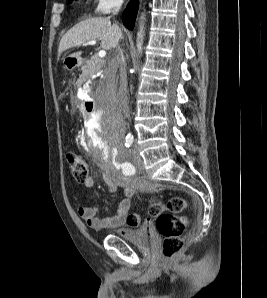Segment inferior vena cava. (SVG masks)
I'll return each mask as SVG.
<instances>
[{
    "label": "inferior vena cava",
    "instance_id": "inferior-vena-cava-1",
    "mask_svg": "<svg viewBox=\"0 0 267 298\" xmlns=\"http://www.w3.org/2000/svg\"><path fill=\"white\" fill-rule=\"evenodd\" d=\"M122 4H123V0H115L114 2L115 9L113 12L114 15L119 11ZM112 63L119 66V71H120L119 97H120V102L122 104L123 112L126 113L128 112L127 72H126L125 58L119 45H116V52L112 60Z\"/></svg>",
    "mask_w": 267,
    "mask_h": 298
}]
</instances>
